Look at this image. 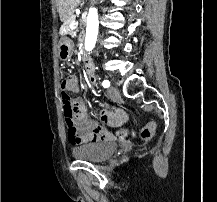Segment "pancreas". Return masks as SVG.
Returning a JSON list of instances; mask_svg holds the SVG:
<instances>
[{
    "mask_svg": "<svg viewBox=\"0 0 217 202\" xmlns=\"http://www.w3.org/2000/svg\"><path fill=\"white\" fill-rule=\"evenodd\" d=\"M70 20H73V17H70ZM61 30L63 34L64 33L66 34L69 32V34H72V36H76L78 32V30H76V32H70V22H67V21L62 24Z\"/></svg>",
    "mask_w": 217,
    "mask_h": 202,
    "instance_id": "cf45deb5",
    "label": "pancreas"
}]
</instances>
